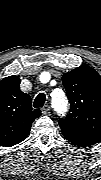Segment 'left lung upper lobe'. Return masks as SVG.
I'll list each match as a JSON object with an SVG mask.
<instances>
[{
	"label": "left lung upper lobe",
	"mask_w": 101,
	"mask_h": 180,
	"mask_svg": "<svg viewBox=\"0 0 101 180\" xmlns=\"http://www.w3.org/2000/svg\"><path fill=\"white\" fill-rule=\"evenodd\" d=\"M62 82L70 102V113L59 120L64 137L78 146L101 140V76L81 65L65 73Z\"/></svg>",
	"instance_id": "1"
}]
</instances>
